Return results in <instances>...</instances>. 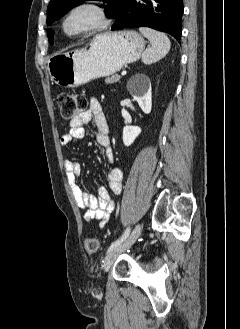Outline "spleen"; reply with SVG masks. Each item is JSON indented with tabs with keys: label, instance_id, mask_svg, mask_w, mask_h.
<instances>
[{
	"label": "spleen",
	"instance_id": "spleen-1",
	"mask_svg": "<svg viewBox=\"0 0 240 329\" xmlns=\"http://www.w3.org/2000/svg\"><path fill=\"white\" fill-rule=\"evenodd\" d=\"M139 31L150 41L151 46L142 54L144 64H152L163 58L171 48L170 39L165 33L154 29L141 27Z\"/></svg>",
	"mask_w": 240,
	"mask_h": 329
}]
</instances>
